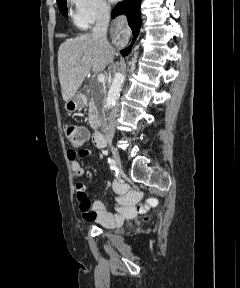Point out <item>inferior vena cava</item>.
<instances>
[{
	"mask_svg": "<svg viewBox=\"0 0 240 288\" xmlns=\"http://www.w3.org/2000/svg\"><path fill=\"white\" fill-rule=\"evenodd\" d=\"M108 25H109V8L107 6H101L98 11L96 24L92 30V35L94 38L102 41L106 46H109V43L106 38ZM117 112H118V107L116 104L111 112L112 119L116 117ZM113 135H114V126L110 122L106 127L105 137L108 141H110L112 140Z\"/></svg>",
	"mask_w": 240,
	"mask_h": 288,
	"instance_id": "inferior-vena-cava-1",
	"label": "inferior vena cava"
}]
</instances>
